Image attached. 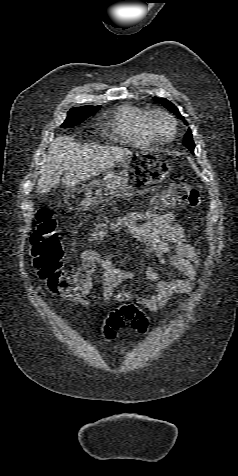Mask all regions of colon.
<instances>
[{"label": "colon", "instance_id": "obj_1", "mask_svg": "<svg viewBox=\"0 0 238 476\" xmlns=\"http://www.w3.org/2000/svg\"><path fill=\"white\" fill-rule=\"evenodd\" d=\"M201 203V194L184 179L177 178L165 192L154 201L157 209L164 207L194 208ZM103 223L97 224L102 226ZM31 253L34 267L39 277L52 291L69 292L81 289L87 282L86 275L79 271L64 269V249L60 240L57 222L51 210L40 208L36 213V223L31 235ZM125 321L140 334L145 333L147 318L133 305H126L113 312L108 319L106 332L112 337L115 330Z\"/></svg>", "mask_w": 238, "mask_h": 476}]
</instances>
